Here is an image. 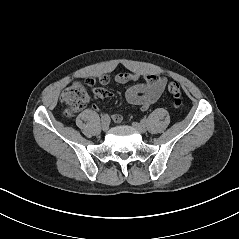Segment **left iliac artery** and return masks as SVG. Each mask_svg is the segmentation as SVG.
Returning a JSON list of instances; mask_svg holds the SVG:
<instances>
[{
    "label": "left iliac artery",
    "instance_id": "44dca946",
    "mask_svg": "<svg viewBox=\"0 0 239 239\" xmlns=\"http://www.w3.org/2000/svg\"><path fill=\"white\" fill-rule=\"evenodd\" d=\"M141 122H142V124L146 125L147 124V119H142Z\"/></svg>",
    "mask_w": 239,
    "mask_h": 239
}]
</instances>
